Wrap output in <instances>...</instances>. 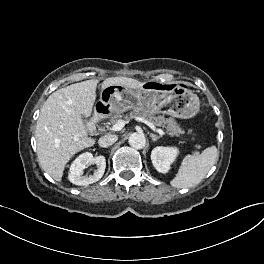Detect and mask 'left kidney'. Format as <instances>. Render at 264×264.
<instances>
[{"mask_svg":"<svg viewBox=\"0 0 264 264\" xmlns=\"http://www.w3.org/2000/svg\"><path fill=\"white\" fill-rule=\"evenodd\" d=\"M178 154L179 150L176 147H155L151 152L153 166L158 172L166 173Z\"/></svg>","mask_w":264,"mask_h":264,"instance_id":"obj_1","label":"left kidney"}]
</instances>
